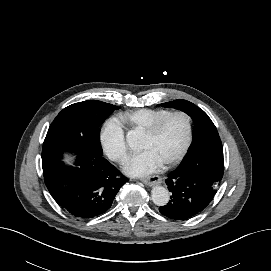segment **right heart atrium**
Masks as SVG:
<instances>
[{
	"label": "right heart atrium",
	"mask_w": 271,
	"mask_h": 271,
	"mask_svg": "<svg viewBox=\"0 0 271 271\" xmlns=\"http://www.w3.org/2000/svg\"><path fill=\"white\" fill-rule=\"evenodd\" d=\"M99 140L104 154L112 161L124 165L129 158V148L124 129L116 120L104 123Z\"/></svg>",
	"instance_id": "obj_1"
}]
</instances>
